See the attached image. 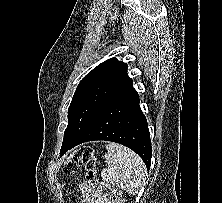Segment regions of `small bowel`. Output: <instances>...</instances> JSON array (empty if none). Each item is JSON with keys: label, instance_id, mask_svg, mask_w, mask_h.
Returning a JSON list of instances; mask_svg holds the SVG:
<instances>
[{"label": "small bowel", "instance_id": "1", "mask_svg": "<svg viewBox=\"0 0 222 203\" xmlns=\"http://www.w3.org/2000/svg\"><path fill=\"white\" fill-rule=\"evenodd\" d=\"M82 192L83 203H112L110 195L101 186L86 184L82 187Z\"/></svg>", "mask_w": 222, "mask_h": 203}]
</instances>
